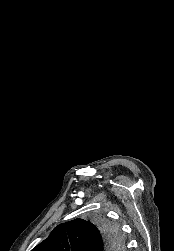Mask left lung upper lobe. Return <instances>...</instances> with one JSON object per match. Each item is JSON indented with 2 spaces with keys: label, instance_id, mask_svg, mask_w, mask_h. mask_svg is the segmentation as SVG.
Masks as SVG:
<instances>
[{
  "label": "left lung upper lobe",
  "instance_id": "obj_1",
  "mask_svg": "<svg viewBox=\"0 0 174 251\" xmlns=\"http://www.w3.org/2000/svg\"><path fill=\"white\" fill-rule=\"evenodd\" d=\"M123 247L117 227L102 221L92 224L75 219L58 225L32 251H121Z\"/></svg>",
  "mask_w": 174,
  "mask_h": 251
}]
</instances>
